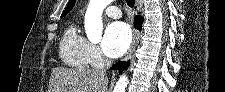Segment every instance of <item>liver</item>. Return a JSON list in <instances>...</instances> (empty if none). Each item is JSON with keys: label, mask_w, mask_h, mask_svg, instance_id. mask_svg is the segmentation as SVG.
I'll list each match as a JSON object with an SVG mask.
<instances>
[{"label": "liver", "mask_w": 225, "mask_h": 92, "mask_svg": "<svg viewBox=\"0 0 225 92\" xmlns=\"http://www.w3.org/2000/svg\"><path fill=\"white\" fill-rule=\"evenodd\" d=\"M108 83L105 71L55 67L48 92H107Z\"/></svg>", "instance_id": "1"}]
</instances>
